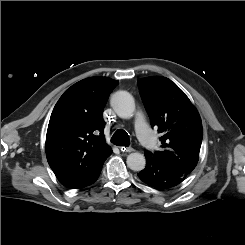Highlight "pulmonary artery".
I'll list each match as a JSON object with an SVG mask.
<instances>
[{
  "label": "pulmonary artery",
  "mask_w": 245,
  "mask_h": 245,
  "mask_svg": "<svg viewBox=\"0 0 245 245\" xmlns=\"http://www.w3.org/2000/svg\"><path fill=\"white\" fill-rule=\"evenodd\" d=\"M135 130L139 140L147 150L155 148L156 142L154 135L148 126L146 118L142 114H138L135 118Z\"/></svg>",
  "instance_id": "pulmonary-artery-1"
}]
</instances>
